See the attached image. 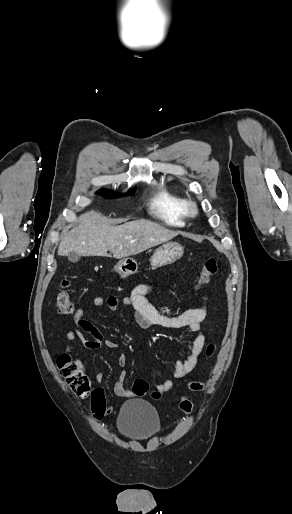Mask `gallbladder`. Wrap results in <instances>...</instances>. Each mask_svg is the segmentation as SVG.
I'll return each mask as SVG.
<instances>
[{"label":"gallbladder","mask_w":292,"mask_h":514,"mask_svg":"<svg viewBox=\"0 0 292 514\" xmlns=\"http://www.w3.org/2000/svg\"><path fill=\"white\" fill-rule=\"evenodd\" d=\"M67 258H68V260H70V262H78V260H80L81 256H80V254H76V252H69Z\"/></svg>","instance_id":"obj_1"}]
</instances>
